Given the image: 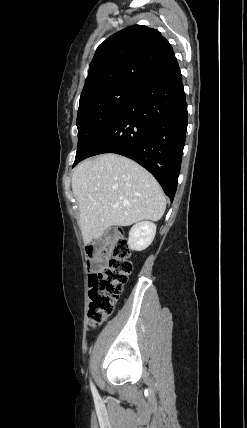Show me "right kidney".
<instances>
[{
	"label": "right kidney",
	"instance_id": "1",
	"mask_svg": "<svg viewBox=\"0 0 247 428\" xmlns=\"http://www.w3.org/2000/svg\"><path fill=\"white\" fill-rule=\"evenodd\" d=\"M155 234L156 225L154 223L139 222L129 232L128 246L132 250L142 251L152 243Z\"/></svg>",
	"mask_w": 247,
	"mask_h": 428
}]
</instances>
